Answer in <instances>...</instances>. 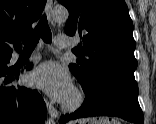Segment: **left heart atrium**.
I'll use <instances>...</instances> for the list:
<instances>
[{
  "instance_id": "1",
  "label": "left heart atrium",
  "mask_w": 156,
  "mask_h": 124,
  "mask_svg": "<svg viewBox=\"0 0 156 124\" xmlns=\"http://www.w3.org/2000/svg\"><path fill=\"white\" fill-rule=\"evenodd\" d=\"M31 82L59 102H65L73 91L69 73L53 61L44 62L35 68Z\"/></svg>"
}]
</instances>
